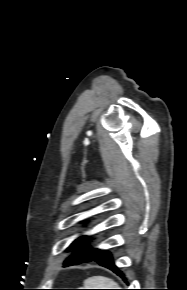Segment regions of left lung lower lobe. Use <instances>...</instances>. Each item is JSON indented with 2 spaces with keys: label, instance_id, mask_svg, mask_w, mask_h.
Instances as JSON below:
<instances>
[{
  "label": "left lung lower lobe",
  "instance_id": "1",
  "mask_svg": "<svg viewBox=\"0 0 187 290\" xmlns=\"http://www.w3.org/2000/svg\"><path fill=\"white\" fill-rule=\"evenodd\" d=\"M90 261H95V262H97L99 265L111 269V270H112L113 272H115L117 275H119V276H121V277H124V274H122V271H120V270L118 269V267L114 264L110 252H107V251L102 252V251H100V252H99L96 256H94L91 260H89V261H84V262H90ZM75 262H76V261H73V262L67 263V264H65V266L75 265V264H76ZM124 280H126V279H124Z\"/></svg>",
  "mask_w": 187,
  "mask_h": 290
}]
</instances>
